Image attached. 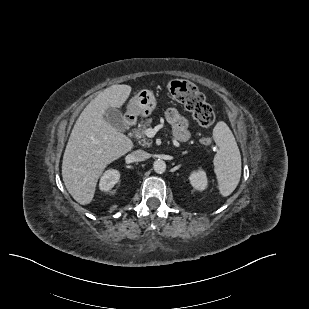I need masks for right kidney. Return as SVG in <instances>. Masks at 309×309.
Returning a JSON list of instances; mask_svg holds the SVG:
<instances>
[{
  "instance_id": "1",
  "label": "right kidney",
  "mask_w": 309,
  "mask_h": 309,
  "mask_svg": "<svg viewBox=\"0 0 309 309\" xmlns=\"http://www.w3.org/2000/svg\"><path fill=\"white\" fill-rule=\"evenodd\" d=\"M120 173L117 170H107L100 179L99 187L102 191H109L119 181Z\"/></svg>"
}]
</instances>
